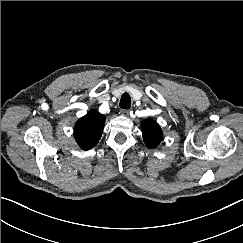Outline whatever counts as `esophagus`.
I'll use <instances>...</instances> for the list:
<instances>
[{
    "instance_id": "34e87169",
    "label": "esophagus",
    "mask_w": 243,
    "mask_h": 243,
    "mask_svg": "<svg viewBox=\"0 0 243 243\" xmlns=\"http://www.w3.org/2000/svg\"><path fill=\"white\" fill-rule=\"evenodd\" d=\"M120 113H121L123 116H128V115H129V110H127V109H122V110L120 111Z\"/></svg>"
}]
</instances>
